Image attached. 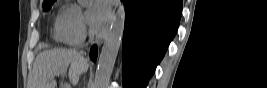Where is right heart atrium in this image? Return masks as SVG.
Returning a JSON list of instances; mask_svg holds the SVG:
<instances>
[{
	"instance_id": "right-heart-atrium-1",
	"label": "right heart atrium",
	"mask_w": 267,
	"mask_h": 88,
	"mask_svg": "<svg viewBox=\"0 0 267 88\" xmlns=\"http://www.w3.org/2000/svg\"><path fill=\"white\" fill-rule=\"evenodd\" d=\"M55 28L56 36L67 44H79L87 35L86 21L77 5H70L59 13Z\"/></svg>"
}]
</instances>
